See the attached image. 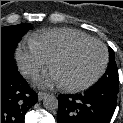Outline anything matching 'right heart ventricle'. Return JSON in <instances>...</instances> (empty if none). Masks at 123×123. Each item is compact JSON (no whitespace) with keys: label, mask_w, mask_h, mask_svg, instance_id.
<instances>
[{"label":"right heart ventricle","mask_w":123,"mask_h":123,"mask_svg":"<svg viewBox=\"0 0 123 123\" xmlns=\"http://www.w3.org/2000/svg\"><path fill=\"white\" fill-rule=\"evenodd\" d=\"M87 34L73 28H51L34 34L29 43L38 49L49 61L68 45L84 39Z\"/></svg>","instance_id":"obj_1"}]
</instances>
